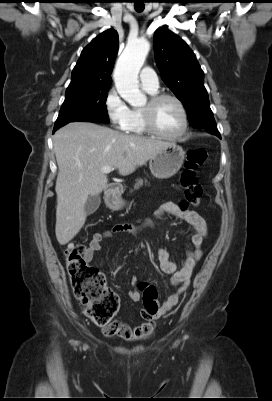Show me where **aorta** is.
Returning a JSON list of instances; mask_svg holds the SVG:
<instances>
[{
    "instance_id": "obj_1",
    "label": "aorta",
    "mask_w": 272,
    "mask_h": 401,
    "mask_svg": "<svg viewBox=\"0 0 272 401\" xmlns=\"http://www.w3.org/2000/svg\"><path fill=\"white\" fill-rule=\"evenodd\" d=\"M149 50L150 43L145 39L128 43L114 69L117 92L132 106L146 103V96L139 89L138 74Z\"/></svg>"
}]
</instances>
